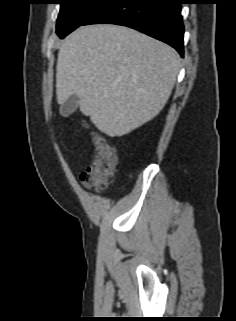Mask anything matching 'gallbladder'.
I'll return each instance as SVG.
<instances>
[{
	"mask_svg": "<svg viewBox=\"0 0 236 321\" xmlns=\"http://www.w3.org/2000/svg\"><path fill=\"white\" fill-rule=\"evenodd\" d=\"M79 98L76 95H71L63 104H61L59 112L63 117H68L78 107Z\"/></svg>",
	"mask_w": 236,
	"mask_h": 321,
	"instance_id": "bac80fb5",
	"label": "gallbladder"
}]
</instances>
